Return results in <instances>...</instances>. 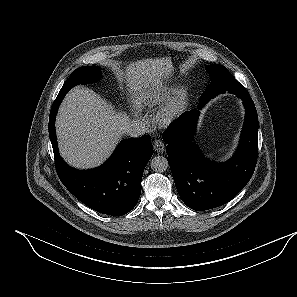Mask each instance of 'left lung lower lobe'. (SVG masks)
Masks as SVG:
<instances>
[{"label":"left lung lower lobe","instance_id":"1","mask_svg":"<svg viewBox=\"0 0 297 297\" xmlns=\"http://www.w3.org/2000/svg\"><path fill=\"white\" fill-rule=\"evenodd\" d=\"M245 106L240 143L225 163L207 160L192 143L199 110L209 101H199L198 109L182 114L163 133L168 162L177 191L193 210L219 207L233 199L253 175L258 155V116L248 92L236 94Z\"/></svg>","mask_w":297,"mask_h":297}]
</instances>
